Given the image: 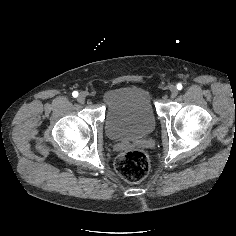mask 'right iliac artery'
Segmentation results:
<instances>
[{
	"instance_id": "82829eb1",
	"label": "right iliac artery",
	"mask_w": 236,
	"mask_h": 236,
	"mask_svg": "<svg viewBox=\"0 0 236 236\" xmlns=\"http://www.w3.org/2000/svg\"><path fill=\"white\" fill-rule=\"evenodd\" d=\"M72 96H73L74 98L78 97V92H77V91H73Z\"/></svg>"
}]
</instances>
